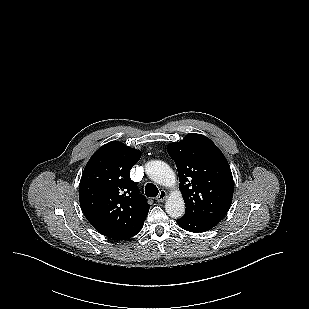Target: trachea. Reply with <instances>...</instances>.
Returning <instances> with one entry per match:
<instances>
[{"instance_id":"obj_1","label":"trachea","mask_w":309,"mask_h":309,"mask_svg":"<svg viewBox=\"0 0 309 309\" xmlns=\"http://www.w3.org/2000/svg\"><path fill=\"white\" fill-rule=\"evenodd\" d=\"M158 192V188L152 183H148L145 186V194L147 197H156L158 195Z\"/></svg>"}]
</instances>
